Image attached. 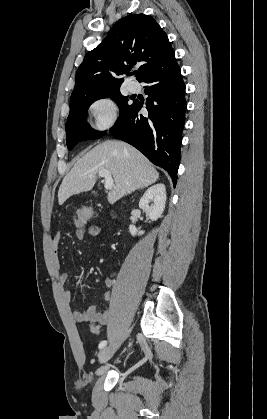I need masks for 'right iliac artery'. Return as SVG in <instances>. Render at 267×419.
Listing matches in <instances>:
<instances>
[{
    "label": "right iliac artery",
    "mask_w": 267,
    "mask_h": 419,
    "mask_svg": "<svg viewBox=\"0 0 267 419\" xmlns=\"http://www.w3.org/2000/svg\"><path fill=\"white\" fill-rule=\"evenodd\" d=\"M106 344H107L106 340L101 341L100 344H99V349H102L103 347H105Z\"/></svg>",
    "instance_id": "82829eb1"
}]
</instances>
